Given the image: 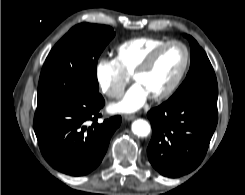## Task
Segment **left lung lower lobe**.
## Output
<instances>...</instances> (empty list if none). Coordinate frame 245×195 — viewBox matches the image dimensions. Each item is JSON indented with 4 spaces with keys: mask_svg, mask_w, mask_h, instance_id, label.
Returning <instances> with one entry per match:
<instances>
[{
    "mask_svg": "<svg viewBox=\"0 0 245 195\" xmlns=\"http://www.w3.org/2000/svg\"><path fill=\"white\" fill-rule=\"evenodd\" d=\"M147 116L152 125L147 148L152 166L171 178L198 167L217 125V105L166 101Z\"/></svg>",
    "mask_w": 245,
    "mask_h": 195,
    "instance_id": "0a47b994",
    "label": "left lung lower lobe"
}]
</instances>
